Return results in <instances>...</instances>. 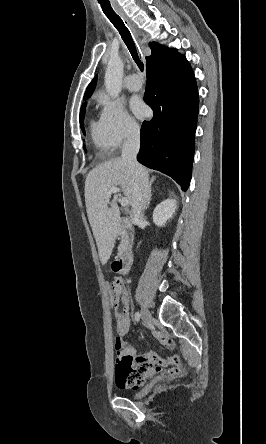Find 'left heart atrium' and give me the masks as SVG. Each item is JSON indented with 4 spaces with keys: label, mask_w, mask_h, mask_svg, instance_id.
<instances>
[{
    "label": "left heart atrium",
    "mask_w": 266,
    "mask_h": 444,
    "mask_svg": "<svg viewBox=\"0 0 266 444\" xmlns=\"http://www.w3.org/2000/svg\"><path fill=\"white\" fill-rule=\"evenodd\" d=\"M130 105L132 111L137 117L142 118L146 115L147 107L140 99H133Z\"/></svg>",
    "instance_id": "1"
}]
</instances>
